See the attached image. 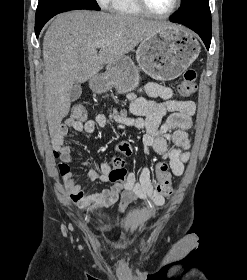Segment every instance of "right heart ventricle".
<instances>
[{
	"label": "right heart ventricle",
	"mask_w": 247,
	"mask_h": 280,
	"mask_svg": "<svg viewBox=\"0 0 247 280\" xmlns=\"http://www.w3.org/2000/svg\"><path fill=\"white\" fill-rule=\"evenodd\" d=\"M108 5L110 10L117 14L129 16L143 14L135 0H110Z\"/></svg>",
	"instance_id": "obj_1"
}]
</instances>
